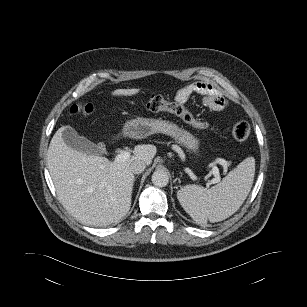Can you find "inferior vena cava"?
<instances>
[{
    "mask_svg": "<svg viewBox=\"0 0 307 307\" xmlns=\"http://www.w3.org/2000/svg\"><path fill=\"white\" fill-rule=\"evenodd\" d=\"M146 168V164L141 161H134L131 165H130V170L134 173V174H140L144 171V169Z\"/></svg>",
    "mask_w": 307,
    "mask_h": 307,
    "instance_id": "602c4592",
    "label": "inferior vena cava"
}]
</instances>
